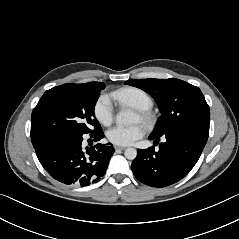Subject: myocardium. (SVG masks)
Wrapping results in <instances>:
<instances>
[{
	"mask_svg": "<svg viewBox=\"0 0 239 239\" xmlns=\"http://www.w3.org/2000/svg\"><path fill=\"white\" fill-rule=\"evenodd\" d=\"M140 121L150 126L153 123V116L148 110H138Z\"/></svg>",
	"mask_w": 239,
	"mask_h": 239,
	"instance_id": "f54148a6",
	"label": "myocardium"
}]
</instances>
